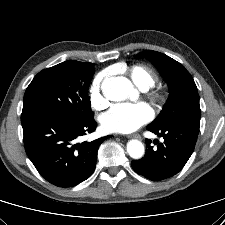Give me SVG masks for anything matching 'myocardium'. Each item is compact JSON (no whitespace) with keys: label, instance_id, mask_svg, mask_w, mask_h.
Returning <instances> with one entry per match:
<instances>
[{"label":"myocardium","instance_id":"1","mask_svg":"<svg viewBox=\"0 0 225 225\" xmlns=\"http://www.w3.org/2000/svg\"><path fill=\"white\" fill-rule=\"evenodd\" d=\"M151 98L153 101L160 103L162 101V95L158 92H152L151 93Z\"/></svg>","mask_w":225,"mask_h":225}]
</instances>
